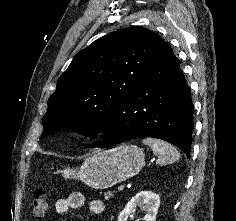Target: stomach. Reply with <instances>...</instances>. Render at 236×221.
<instances>
[{
    "mask_svg": "<svg viewBox=\"0 0 236 221\" xmlns=\"http://www.w3.org/2000/svg\"><path fill=\"white\" fill-rule=\"evenodd\" d=\"M144 164L141 148L122 145L90 156L80 168H66L60 173L65 178L80 180L90 188L106 189L135 176Z\"/></svg>",
    "mask_w": 236,
    "mask_h": 221,
    "instance_id": "0dacf381",
    "label": "stomach"
}]
</instances>
